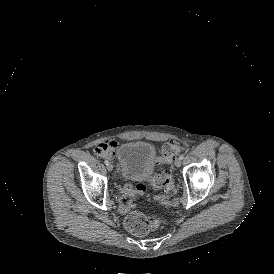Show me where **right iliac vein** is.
<instances>
[{"instance_id": "1", "label": "right iliac vein", "mask_w": 274, "mask_h": 274, "mask_svg": "<svg viewBox=\"0 0 274 274\" xmlns=\"http://www.w3.org/2000/svg\"><path fill=\"white\" fill-rule=\"evenodd\" d=\"M107 169H108V171H113V169H114V166L111 164V163H109L108 165H107Z\"/></svg>"}]
</instances>
